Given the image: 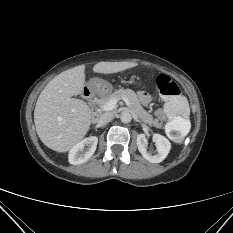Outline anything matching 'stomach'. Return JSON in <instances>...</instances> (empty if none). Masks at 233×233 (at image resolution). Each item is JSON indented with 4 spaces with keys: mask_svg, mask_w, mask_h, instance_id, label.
Returning <instances> with one entry per match:
<instances>
[{
    "mask_svg": "<svg viewBox=\"0 0 233 233\" xmlns=\"http://www.w3.org/2000/svg\"><path fill=\"white\" fill-rule=\"evenodd\" d=\"M90 84L97 87V89L103 93L109 92L111 90V85L99 78H93Z\"/></svg>",
    "mask_w": 233,
    "mask_h": 233,
    "instance_id": "stomach-1",
    "label": "stomach"
}]
</instances>
